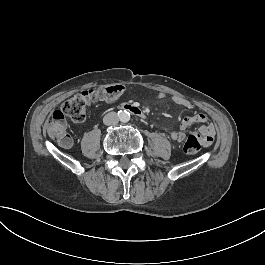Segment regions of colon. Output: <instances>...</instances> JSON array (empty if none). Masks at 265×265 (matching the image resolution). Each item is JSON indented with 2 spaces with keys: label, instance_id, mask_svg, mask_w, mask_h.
Returning <instances> with one entry per match:
<instances>
[{
  "label": "colon",
  "instance_id": "1",
  "mask_svg": "<svg viewBox=\"0 0 265 265\" xmlns=\"http://www.w3.org/2000/svg\"><path fill=\"white\" fill-rule=\"evenodd\" d=\"M125 91L121 84L103 85L98 88L85 90L65 100L53 113L47 122L48 134L56 139L62 148L72 145V138L68 133L66 118L69 117L76 122H82L87 116L89 107L95 102L112 103L118 100ZM203 147L202 140L194 134L186 137L183 143V151L187 155H193Z\"/></svg>",
  "mask_w": 265,
  "mask_h": 265
}]
</instances>
